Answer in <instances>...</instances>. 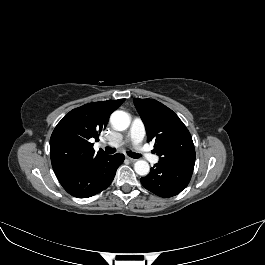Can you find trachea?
<instances>
[{"label":"trachea","instance_id":"1","mask_svg":"<svg viewBox=\"0 0 265 265\" xmlns=\"http://www.w3.org/2000/svg\"><path fill=\"white\" fill-rule=\"evenodd\" d=\"M105 151L108 154H113L116 150L114 148H111V147H106ZM127 155L130 156L131 158H135V159L141 157V154L135 153V152H132V151H127Z\"/></svg>","mask_w":265,"mask_h":265}]
</instances>
